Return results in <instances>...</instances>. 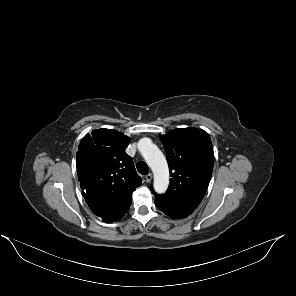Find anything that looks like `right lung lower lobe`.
I'll return each instance as SVG.
<instances>
[{
	"mask_svg": "<svg viewBox=\"0 0 296 296\" xmlns=\"http://www.w3.org/2000/svg\"><path fill=\"white\" fill-rule=\"evenodd\" d=\"M131 199L122 202H112L104 204H90L93 213L105 222L118 221L129 210Z\"/></svg>",
	"mask_w": 296,
	"mask_h": 296,
	"instance_id": "98d812e1",
	"label": "right lung lower lobe"
}]
</instances>
